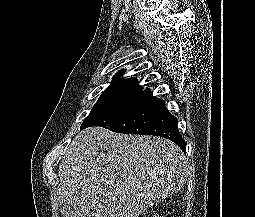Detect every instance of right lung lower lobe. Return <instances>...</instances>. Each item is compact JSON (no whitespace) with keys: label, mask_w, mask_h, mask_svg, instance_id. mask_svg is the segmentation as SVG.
<instances>
[{"label":"right lung lower lobe","mask_w":255,"mask_h":217,"mask_svg":"<svg viewBox=\"0 0 255 217\" xmlns=\"http://www.w3.org/2000/svg\"><path fill=\"white\" fill-rule=\"evenodd\" d=\"M91 126H101L117 133L164 137L185 151V141L178 130L176 117L167 110L163 100L152 96L149 89L83 128Z\"/></svg>","instance_id":"98d812e1"}]
</instances>
